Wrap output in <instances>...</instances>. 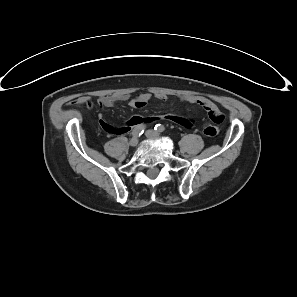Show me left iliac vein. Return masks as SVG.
<instances>
[{"label":"left iliac vein","mask_w":297,"mask_h":297,"mask_svg":"<svg viewBox=\"0 0 297 297\" xmlns=\"http://www.w3.org/2000/svg\"><path fill=\"white\" fill-rule=\"evenodd\" d=\"M146 136H147L148 138H156V137L159 136V134H158L157 132L153 131V130H148V131L146 132Z\"/></svg>","instance_id":"1"}]
</instances>
